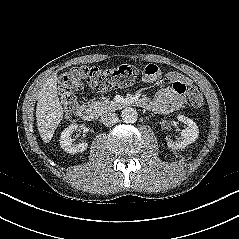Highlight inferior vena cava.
Segmentation results:
<instances>
[{"instance_id": "1", "label": "inferior vena cava", "mask_w": 239, "mask_h": 239, "mask_svg": "<svg viewBox=\"0 0 239 239\" xmlns=\"http://www.w3.org/2000/svg\"><path fill=\"white\" fill-rule=\"evenodd\" d=\"M101 121L105 126H113L118 122V116L116 113H105L102 115Z\"/></svg>"}]
</instances>
